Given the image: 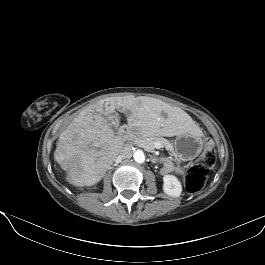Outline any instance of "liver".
<instances>
[{"mask_svg": "<svg viewBox=\"0 0 265 265\" xmlns=\"http://www.w3.org/2000/svg\"><path fill=\"white\" fill-rule=\"evenodd\" d=\"M116 110L127 115L129 126L139 127L149 135H202L189 114L159 99L133 96L102 99L84 108L59 136L54 159L67 172L70 184L80 187L97 184L121 153L124 139L115 135L105 118Z\"/></svg>", "mask_w": 265, "mask_h": 265, "instance_id": "1", "label": "liver"}]
</instances>
